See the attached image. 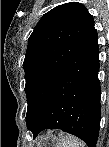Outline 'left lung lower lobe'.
I'll return each instance as SVG.
<instances>
[{"mask_svg": "<svg viewBox=\"0 0 109 147\" xmlns=\"http://www.w3.org/2000/svg\"><path fill=\"white\" fill-rule=\"evenodd\" d=\"M97 32L60 71L38 120L28 127L36 137L44 129H61L95 147L100 129Z\"/></svg>", "mask_w": 109, "mask_h": 147, "instance_id": "obj_1", "label": "left lung lower lobe"}]
</instances>
